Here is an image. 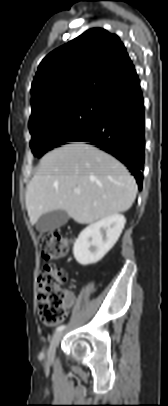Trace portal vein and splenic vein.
<instances>
[{
	"instance_id": "1",
	"label": "portal vein and splenic vein",
	"mask_w": 168,
	"mask_h": 406,
	"mask_svg": "<svg viewBox=\"0 0 168 406\" xmlns=\"http://www.w3.org/2000/svg\"><path fill=\"white\" fill-rule=\"evenodd\" d=\"M74 193L80 194V193H81V190H80V189H75V190H74Z\"/></svg>"
}]
</instances>
